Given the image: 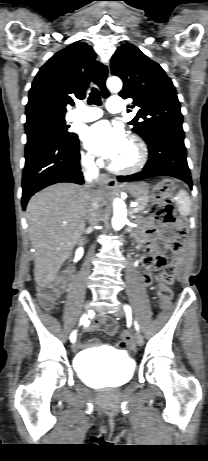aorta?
Listing matches in <instances>:
<instances>
[{"label":"aorta","instance_id":"762f6f07","mask_svg":"<svg viewBox=\"0 0 208 461\" xmlns=\"http://www.w3.org/2000/svg\"><path fill=\"white\" fill-rule=\"evenodd\" d=\"M107 87L112 92H119L122 89V81L118 77H110L107 80ZM127 221L126 204L123 200L116 198L113 202L112 226L120 230Z\"/></svg>","mask_w":208,"mask_h":461}]
</instances>
